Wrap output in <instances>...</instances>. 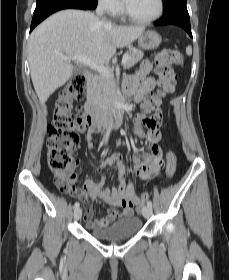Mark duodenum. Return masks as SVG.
Wrapping results in <instances>:
<instances>
[{"label": "duodenum", "instance_id": "obj_1", "mask_svg": "<svg viewBox=\"0 0 229 280\" xmlns=\"http://www.w3.org/2000/svg\"><path fill=\"white\" fill-rule=\"evenodd\" d=\"M83 76L90 84H92L96 78L95 74L91 71L85 72ZM124 106L125 101L122 100L120 102L115 97L110 101L108 110L102 111L95 100L90 97L84 105L89 126L95 130L111 123L118 127L122 126L125 117Z\"/></svg>", "mask_w": 229, "mask_h": 280}]
</instances>
